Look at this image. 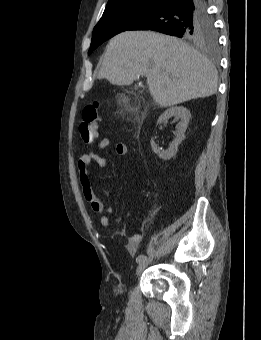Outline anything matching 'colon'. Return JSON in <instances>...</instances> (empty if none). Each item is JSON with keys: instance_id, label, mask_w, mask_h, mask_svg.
<instances>
[{"instance_id": "1", "label": "colon", "mask_w": 261, "mask_h": 340, "mask_svg": "<svg viewBox=\"0 0 261 340\" xmlns=\"http://www.w3.org/2000/svg\"><path fill=\"white\" fill-rule=\"evenodd\" d=\"M100 120V105L98 103L90 104L83 109L79 132L85 143H91L97 137Z\"/></svg>"}]
</instances>
